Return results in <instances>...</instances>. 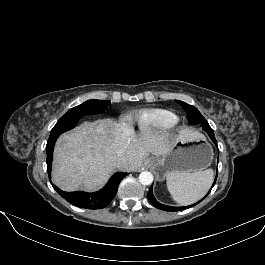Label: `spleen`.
<instances>
[{"label": "spleen", "mask_w": 265, "mask_h": 265, "mask_svg": "<svg viewBox=\"0 0 265 265\" xmlns=\"http://www.w3.org/2000/svg\"><path fill=\"white\" fill-rule=\"evenodd\" d=\"M212 169L194 173H170L167 175V187L173 199L180 205H190L201 199L213 182Z\"/></svg>", "instance_id": "1"}]
</instances>
